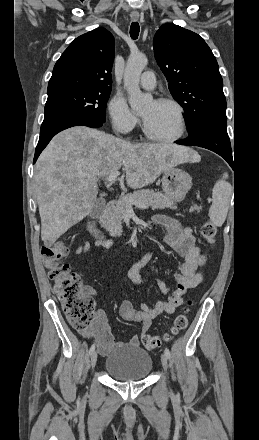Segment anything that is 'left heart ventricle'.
<instances>
[{"mask_svg": "<svg viewBox=\"0 0 259 440\" xmlns=\"http://www.w3.org/2000/svg\"><path fill=\"white\" fill-rule=\"evenodd\" d=\"M141 116L156 136L168 138L178 131L177 112L172 105L150 102L141 111Z\"/></svg>", "mask_w": 259, "mask_h": 440, "instance_id": "left-heart-ventricle-1", "label": "left heart ventricle"}]
</instances>
